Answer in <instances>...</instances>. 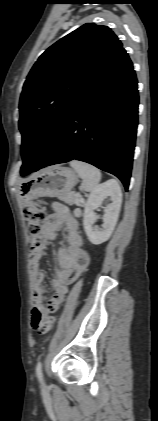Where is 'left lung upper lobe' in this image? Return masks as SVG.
Listing matches in <instances>:
<instances>
[{"label":"left lung upper lobe","mask_w":158,"mask_h":421,"mask_svg":"<svg viewBox=\"0 0 158 421\" xmlns=\"http://www.w3.org/2000/svg\"><path fill=\"white\" fill-rule=\"evenodd\" d=\"M121 47L109 27L86 23L39 57L20 97L21 173L38 165L69 109Z\"/></svg>","instance_id":"5c2ea615"}]
</instances>
